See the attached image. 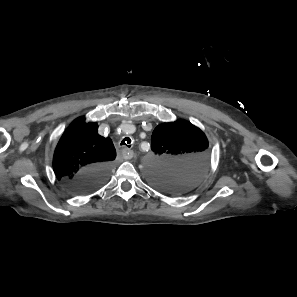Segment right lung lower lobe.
<instances>
[{"label": "right lung lower lobe", "mask_w": 297, "mask_h": 297, "mask_svg": "<svg viewBox=\"0 0 297 297\" xmlns=\"http://www.w3.org/2000/svg\"><path fill=\"white\" fill-rule=\"evenodd\" d=\"M110 169V164H98L88 167L69 180L68 185L71 191L77 194L94 191L106 182Z\"/></svg>", "instance_id": "obj_1"}]
</instances>
